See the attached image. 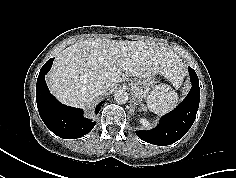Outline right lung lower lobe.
I'll return each mask as SVG.
<instances>
[{"instance_id":"1","label":"right lung lower lobe","mask_w":236,"mask_h":178,"mask_svg":"<svg viewBox=\"0 0 236 178\" xmlns=\"http://www.w3.org/2000/svg\"><path fill=\"white\" fill-rule=\"evenodd\" d=\"M54 58L49 59L41 68L36 84L37 108L41 119L55 135L64 139H75L89 133L95 122L83 117L81 109L61 104L50 94L45 82V74L50 70ZM99 103L95 109L100 110Z\"/></svg>"}]
</instances>
